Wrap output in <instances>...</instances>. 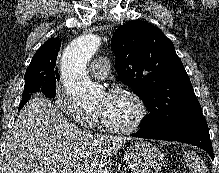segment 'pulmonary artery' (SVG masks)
<instances>
[{
    "label": "pulmonary artery",
    "instance_id": "obj_1",
    "mask_svg": "<svg viewBox=\"0 0 219 173\" xmlns=\"http://www.w3.org/2000/svg\"><path fill=\"white\" fill-rule=\"evenodd\" d=\"M109 61L106 57H96L90 64L89 73L95 79H103L108 75Z\"/></svg>",
    "mask_w": 219,
    "mask_h": 173
}]
</instances>
